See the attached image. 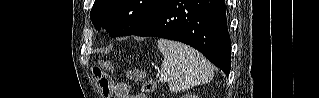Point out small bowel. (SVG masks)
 Here are the masks:
<instances>
[{
  "instance_id": "c3829d8e",
  "label": "small bowel",
  "mask_w": 319,
  "mask_h": 98,
  "mask_svg": "<svg viewBox=\"0 0 319 98\" xmlns=\"http://www.w3.org/2000/svg\"><path fill=\"white\" fill-rule=\"evenodd\" d=\"M114 95L117 98H131L130 96V86L126 83H117L113 88ZM135 98H146L142 95H137Z\"/></svg>"
}]
</instances>
